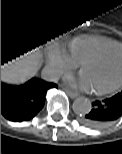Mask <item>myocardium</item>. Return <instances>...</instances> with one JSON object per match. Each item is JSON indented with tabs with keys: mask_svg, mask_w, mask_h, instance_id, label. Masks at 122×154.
Here are the masks:
<instances>
[{
	"mask_svg": "<svg viewBox=\"0 0 122 154\" xmlns=\"http://www.w3.org/2000/svg\"><path fill=\"white\" fill-rule=\"evenodd\" d=\"M122 49V46H119L118 44L106 47L102 50H99L98 52H95L93 54H90L88 56H86L85 58H83L80 61V68L81 70H83L84 66L89 63L92 62L94 60H97L98 58H100L102 55H104L105 53L112 51L114 49ZM122 86V76L113 84L100 88V89H95V90H91V92L95 95H105V94H109L115 90H117L118 88H120Z\"/></svg>",
	"mask_w": 122,
	"mask_h": 154,
	"instance_id": "1",
	"label": "myocardium"
}]
</instances>
